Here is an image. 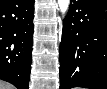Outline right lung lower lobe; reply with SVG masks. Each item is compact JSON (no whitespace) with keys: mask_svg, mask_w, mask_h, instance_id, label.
<instances>
[{"mask_svg":"<svg viewBox=\"0 0 107 89\" xmlns=\"http://www.w3.org/2000/svg\"><path fill=\"white\" fill-rule=\"evenodd\" d=\"M34 0H0V79L28 89Z\"/></svg>","mask_w":107,"mask_h":89,"instance_id":"right-lung-lower-lobe-1","label":"right lung lower lobe"}]
</instances>
